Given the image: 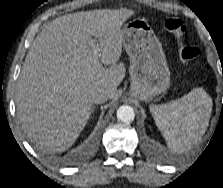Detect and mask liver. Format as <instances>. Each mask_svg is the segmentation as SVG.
I'll return each mask as SVG.
<instances>
[{"label": "liver", "instance_id": "1", "mask_svg": "<svg viewBox=\"0 0 223 188\" xmlns=\"http://www.w3.org/2000/svg\"><path fill=\"white\" fill-rule=\"evenodd\" d=\"M133 14L126 8L76 12L54 19L36 36L16 88L22 129L36 146L65 151L91 115V92L103 89L114 96L125 76L118 64L121 26ZM91 36L99 42L98 57L92 54Z\"/></svg>", "mask_w": 223, "mask_h": 188}]
</instances>
